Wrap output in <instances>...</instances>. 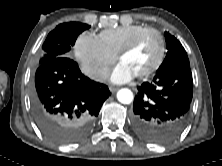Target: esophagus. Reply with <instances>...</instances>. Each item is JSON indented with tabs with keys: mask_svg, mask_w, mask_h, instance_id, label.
Instances as JSON below:
<instances>
[{
	"mask_svg": "<svg viewBox=\"0 0 222 166\" xmlns=\"http://www.w3.org/2000/svg\"><path fill=\"white\" fill-rule=\"evenodd\" d=\"M109 90H110V92L115 93L116 91L119 90V88H118V87L111 86V87H109Z\"/></svg>",
	"mask_w": 222,
	"mask_h": 166,
	"instance_id": "esophagus-1",
	"label": "esophagus"
}]
</instances>
